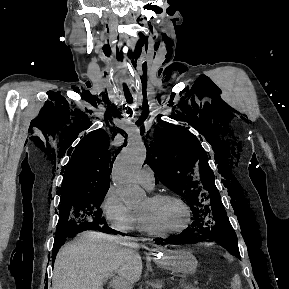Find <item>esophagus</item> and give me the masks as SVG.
<instances>
[{"mask_svg":"<svg viewBox=\"0 0 289 289\" xmlns=\"http://www.w3.org/2000/svg\"><path fill=\"white\" fill-rule=\"evenodd\" d=\"M158 247H154L150 249V254H155L158 251Z\"/></svg>","mask_w":289,"mask_h":289,"instance_id":"34e87169","label":"esophagus"}]
</instances>
